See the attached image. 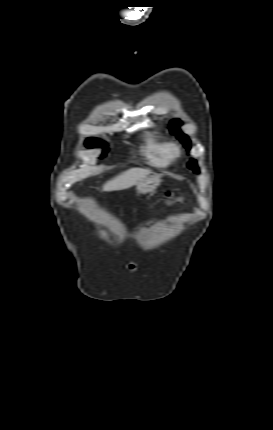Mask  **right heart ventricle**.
I'll list each match as a JSON object with an SVG mask.
<instances>
[{"label":"right heart ventricle","instance_id":"obj_1","mask_svg":"<svg viewBox=\"0 0 273 430\" xmlns=\"http://www.w3.org/2000/svg\"><path fill=\"white\" fill-rule=\"evenodd\" d=\"M171 143L155 134H148L144 138L141 153L147 163L153 167H167L172 163Z\"/></svg>","mask_w":273,"mask_h":430}]
</instances>
